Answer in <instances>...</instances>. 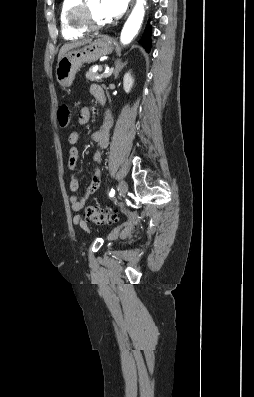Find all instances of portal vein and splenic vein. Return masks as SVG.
<instances>
[{
    "label": "portal vein and splenic vein",
    "mask_w": 254,
    "mask_h": 397,
    "mask_svg": "<svg viewBox=\"0 0 254 397\" xmlns=\"http://www.w3.org/2000/svg\"><path fill=\"white\" fill-rule=\"evenodd\" d=\"M112 71H113V68L106 69L104 74L102 75V77H109L111 75Z\"/></svg>",
    "instance_id": "portal-vein-and-splenic-vein-1"
}]
</instances>
